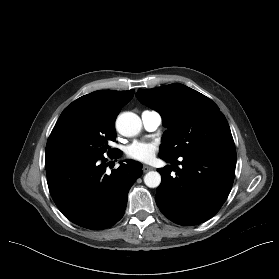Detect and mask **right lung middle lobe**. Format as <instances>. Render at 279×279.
<instances>
[{
  "label": "right lung middle lobe",
  "mask_w": 279,
  "mask_h": 279,
  "mask_svg": "<svg viewBox=\"0 0 279 279\" xmlns=\"http://www.w3.org/2000/svg\"><path fill=\"white\" fill-rule=\"evenodd\" d=\"M115 139L114 124L102 121L83 104L71 103L61 113L48 138L45 160L102 157L110 148L108 142Z\"/></svg>",
  "instance_id": "dd1d6c3e"
}]
</instances>
